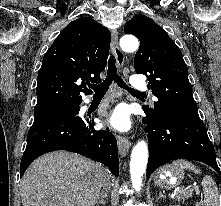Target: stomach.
Wrapping results in <instances>:
<instances>
[{"label":"stomach","instance_id":"obj_1","mask_svg":"<svg viewBox=\"0 0 221 206\" xmlns=\"http://www.w3.org/2000/svg\"><path fill=\"white\" fill-rule=\"evenodd\" d=\"M184 177V171L182 168L167 165L160 168L154 176V183L158 187L164 189H172L179 185Z\"/></svg>","mask_w":221,"mask_h":206}]
</instances>
